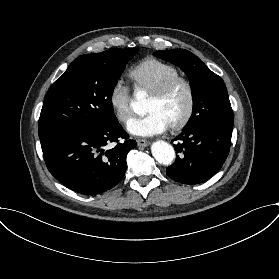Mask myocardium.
<instances>
[{
  "instance_id": "obj_1",
  "label": "myocardium",
  "mask_w": 279,
  "mask_h": 279,
  "mask_svg": "<svg viewBox=\"0 0 279 279\" xmlns=\"http://www.w3.org/2000/svg\"><path fill=\"white\" fill-rule=\"evenodd\" d=\"M180 84L186 87L188 94V104L184 116L179 121L170 125L173 130H180L184 128L194 115L196 94L192 81L185 76H175L163 82L154 92L151 93V97L154 99H162Z\"/></svg>"
}]
</instances>
